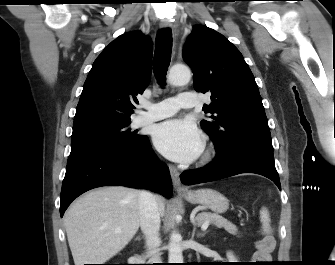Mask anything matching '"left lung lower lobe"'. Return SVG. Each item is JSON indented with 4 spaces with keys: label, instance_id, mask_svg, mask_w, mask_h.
Instances as JSON below:
<instances>
[{
    "label": "left lung lower lobe",
    "instance_id": "1",
    "mask_svg": "<svg viewBox=\"0 0 335 265\" xmlns=\"http://www.w3.org/2000/svg\"><path fill=\"white\" fill-rule=\"evenodd\" d=\"M240 173H256L272 180L281 190L280 179L275 168L273 151L252 145L237 144L217 152L209 165L185 171L181 181L185 185L211 182Z\"/></svg>",
    "mask_w": 335,
    "mask_h": 265
}]
</instances>
